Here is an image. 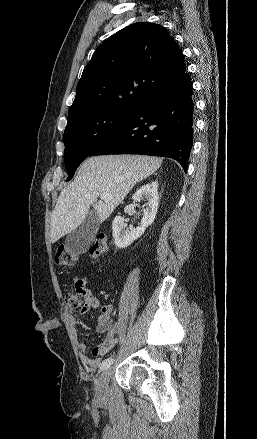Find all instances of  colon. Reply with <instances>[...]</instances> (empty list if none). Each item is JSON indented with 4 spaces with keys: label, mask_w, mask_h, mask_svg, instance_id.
Masks as SVG:
<instances>
[{
    "label": "colon",
    "mask_w": 257,
    "mask_h": 439,
    "mask_svg": "<svg viewBox=\"0 0 257 439\" xmlns=\"http://www.w3.org/2000/svg\"><path fill=\"white\" fill-rule=\"evenodd\" d=\"M108 246L107 240L104 234H99L89 250L90 256L97 260L104 257L107 253ZM76 254L66 248L59 247L55 253L54 260L59 266H69L76 261ZM86 299V291L81 287H75L74 292H68L65 295V302L69 309L73 311L81 312L84 308V303Z\"/></svg>",
    "instance_id": "5ec220e1"
}]
</instances>
